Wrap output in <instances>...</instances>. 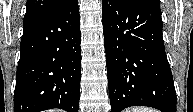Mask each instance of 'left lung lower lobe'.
I'll use <instances>...</instances> for the list:
<instances>
[{
  "label": "left lung lower lobe",
  "instance_id": "left-lung-lower-lobe-1",
  "mask_svg": "<svg viewBox=\"0 0 193 112\" xmlns=\"http://www.w3.org/2000/svg\"><path fill=\"white\" fill-rule=\"evenodd\" d=\"M102 21L112 112L130 106L176 112L159 0H102Z\"/></svg>",
  "mask_w": 193,
  "mask_h": 112
}]
</instances>
